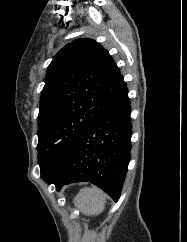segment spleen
<instances>
[{"mask_svg": "<svg viewBox=\"0 0 187 242\" xmlns=\"http://www.w3.org/2000/svg\"><path fill=\"white\" fill-rule=\"evenodd\" d=\"M106 194L97 187L82 188L74 199L75 206L87 215L102 213L106 204Z\"/></svg>", "mask_w": 187, "mask_h": 242, "instance_id": "3e777b00", "label": "spleen"}]
</instances>
